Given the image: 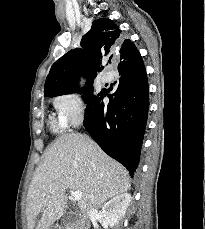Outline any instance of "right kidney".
Listing matches in <instances>:
<instances>
[{
	"mask_svg": "<svg viewBox=\"0 0 205 229\" xmlns=\"http://www.w3.org/2000/svg\"><path fill=\"white\" fill-rule=\"evenodd\" d=\"M131 195L122 193L109 200L102 207V213L107 226L114 227L119 220L124 217L126 210L131 202Z\"/></svg>",
	"mask_w": 205,
	"mask_h": 229,
	"instance_id": "1",
	"label": "right kidney"
}]
</instances>
